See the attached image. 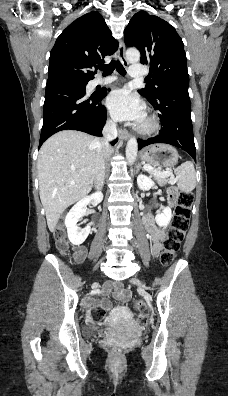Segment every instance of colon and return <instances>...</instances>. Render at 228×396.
Returning <instances> with one entry per match:
<instances>
[{
	"instance_id": "1",
	"label": "colon",
	"mask_w": 228,
	"mask_h": 396,
	"mask_svg": "<svg viewBox=\"0 0 228 396\" xmlns=\"http://www.w3.org/2000/svg\"><path fill=\"white\" fill-rule=\"evenodd\" d=\"M171 196H177V205L175 209V216L171 228L168 230L166 238L163 240V253L161 261L163 264H171L176 257V252L180 246L184 231L188 227V219L190 209L193 203V195L190 192H178L175 188L171 189ZM54 237L56 246L60 253H65L68 249L66 241L65 229L62 226H57L54 230ZM136 310L139 312L138 321L141 325L148 323V317L144 313L146 304L143 301H136L134 304ZM91 316L94 320H102L105 316V311L100 306H95L91 310ZM114 353H119L120 349L117 346L113 347Z\"/></svg>"
}]
</instances>
